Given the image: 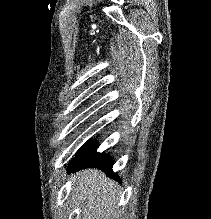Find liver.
<instances>
[{
  "mask_svg": "<svg viewBox=\"0 0 211 219\" xmlns=\"http://www.w3.org/2000/svg\"><path fill=\"white\" fill-rule=\"evenodd\" d=\"M72 201L79 219H113L120 197L118 185L100 170L86 169L74 176Z\"/></svg>",
  "mask_w": 211,
  "mask_h": 219,
  "instance_id": "obj_1",
  "label": "liver"
}]
</instances>
